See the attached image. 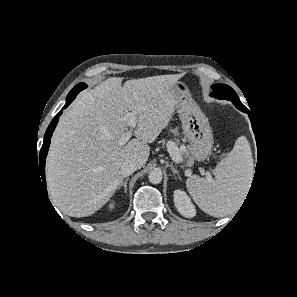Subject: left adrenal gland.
Instances as JSON below:
<instances>
[{"label": "left adrenal gland", "instance_id": "obj_1", "mask_svg": "<svg viewBox=\"0 0 297 297\" xmlns=\"http://www.w3.org/2000/svg\"><path fill=\"white\" fill-rule=\"evenodd\" d=\"M170 169L172 170L173 174H177L178 177L180 178L178 170L173 166V164H170Z\"/></svg>", "mask_w": 297, "mask_h": 297}]
</instances>
